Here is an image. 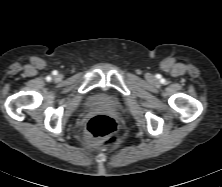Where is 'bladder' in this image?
<instances>
[{
	"label": "bladder",
	"mask_w": 222,
	"mask_h": 187,
	"mask_svg": "<svg viewBox=\"0 0 222 187\" xmlns=\"http://www.w3.org/2000/svg\"><path fill=\"white\" fill-rule=\"evenodd\" d=\"M87 104L89 106H107L118 108L121 103L116 97L105 92H96L88 98Z\"/></svg>",
	"instance_id": "bladder-1"
}]
</instances>
